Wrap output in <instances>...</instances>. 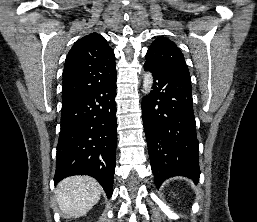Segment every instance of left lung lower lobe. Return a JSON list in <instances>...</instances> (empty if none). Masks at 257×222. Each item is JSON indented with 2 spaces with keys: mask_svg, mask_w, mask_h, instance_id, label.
I'll return each mask as SVG.
<instances>
[{
  "mask_svg": "<svg viewBox=\"0 0 257 222\" xmlns=\"http://www.w3.org/2000/svg\"><path fill=\"white\" fill-rule=\"evenodd\" d=\"M154 80L142 100V116L156 186L169 177L200 176L191 82L145 62Z\"/></svg>",
  "mask_w": 257,
  "mask_h": 222,
  "instance_id": "1",
  "label": "left lung lower lobe"
}]
</instances>
